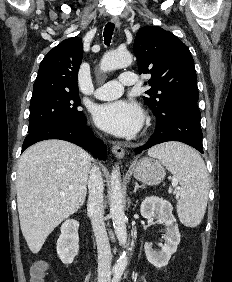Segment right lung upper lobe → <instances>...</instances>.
<instances>
[{
  "label": "right lung upper lobe",
  "instance_id": "obj_1",
  "mask_svg": "<svg viewBox=\"0 0 232 282\" xmlns=\"http://www.w3.org/2000/svg\"><path fill=\"white\" fill-rule=\"evenodd\" d=\"M83 57L82 42L78 37L64 40L51 49L42 60L34 91H78V70Z\"/></svg>",
  "mask_w": 232,
  "mask_h": 282
}]
</instances>
